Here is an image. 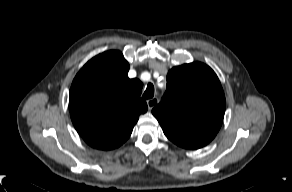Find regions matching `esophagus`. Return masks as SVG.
Wrapping results in <instances>:
<instances>
[{
	"instance_id": "obj_1",
	"label": "esophagus",
	"mask_w": 292,
	"mask_h": 192,
	"mask_svg": "<svg viewBox=\"0 0 292 192\" xmlns=\"http://www.w3.org/2000/svg\"><path fill=\"white\" fill-rule=\"evenodd\" d=\"M158 102L159 100L156 97L147 100L149 110L153 109L158 104Z\"/></svg>"
}]
</instances>
